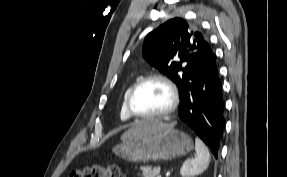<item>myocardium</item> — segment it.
I'll return each mask as SVG.
<instances>
[{"label":"myocardium","mask_w":287,"mask_h":177,"mask_svg":"<svg viewBox=\"0 0 287 177\" xmlns=\"http://www.w3.org/2000/svg\"><path fill=\"white\" fill-rule=\"evenodd\" d=\"M150 81H158L164 84L169 91L170 95V104L169 106L162 112L156 114H139L137 113L132 106V99L135 95L136 91L145 83ZM179 104V92L175 84L166 76L161 74H150L146 75L139 80H137L131 89L128 92L126 97V109L130 116L135 117L137 119L149 120V119H159L164 118L171 114Z\"/></svg>","instance_id":"f54148a6"}]
</instances>
